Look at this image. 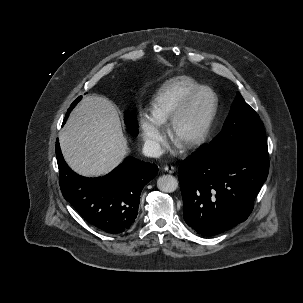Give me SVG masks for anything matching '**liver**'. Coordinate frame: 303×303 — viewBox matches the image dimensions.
Returning a JSON list of instances; mask_svg holds the SVG:
<instances>
[{"label": "liver", "instance_id": "obj_1", "mask_svg": "<svg viewBox=\"0 0 303 303\" xmlns=\"http://www.w3.org/2000/svg\"><path fill=\"white\" fill-rule=\"evenodd\" d=\"M59 140L68 165L84 176L109 173L128 152L117 111L100 96H87L81 101Z\"/></svg>", "mask_w": 303, "mask_h": 303}]
</instances>
